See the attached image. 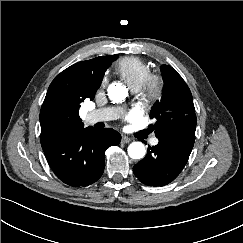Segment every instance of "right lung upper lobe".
I'll use <instances>...</instances> for the list:
<instances>
[{
	"label": "right lung upper lobe",
	"mask_w": 243,
	"mask_h": 243,
	"mask_svg": "<svg viewBox=\"0 0 243 243\" xmlns=\"http://www.w3.org/2000/svg\"><path fill=\"white\" fill-rule=\"evenodd\" d=\"M116 55L78 62L58 74L50 84L40 111L41 140L80 130V103L94 98L104 72Z\"/></svg>",
	"instance_id": "1"
}]
</instances>
